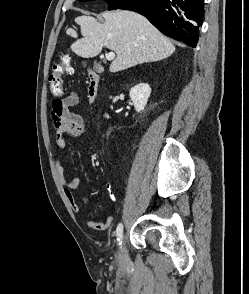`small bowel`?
Listing matches in <instances>:
<instances>
[{
  "instance_id": "small-bowel-1",
  "label": "small bowel",
  "mask_w": 249,
  "mask_h": 294,
  "mask_svg": "<svg viewBox=\"0 0 249 294\" xmlns=\"http://www.w3.org/2000/svg\"><path fill=\"white\" fill-rule=\"evenodd\" d=\"M78 103L79 94L76 91H71L65 97L53 100L51 103V116L56 125L55 145L59 154L55 162L56 172L71 209L76 213L80 211L81 204L89 202L91 197L78 196L74 193L79 181L77 178L69 177L65 174L60 156L65 149V140L67 138H76L86 132L83 118L70 110ZM113 221V216L109 215L104 221L88 220L87 225L93 230L102 231L108 229L113 224Z\"/></svg>"
}]
</instances>
